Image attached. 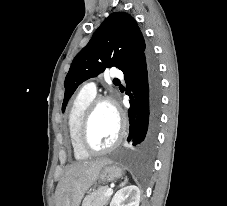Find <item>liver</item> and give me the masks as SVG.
<instances>
[{
	"label": "liver",
	"mask_w": 227,
	"mask_h": 206,
	"mask_svg": "<svg viewBox=\"0 0 227 206\" xmlns=\"http://www.w3.org/2000/svg\"><path fill=\"white\" fill-rule=\"evenodd\" d=\"M107 159L78 162L69 166L55 191L56 206H79L85 192L95 183Z\"/></svg>",
	"instance_id": "6515ba94"
}]
</instances>
